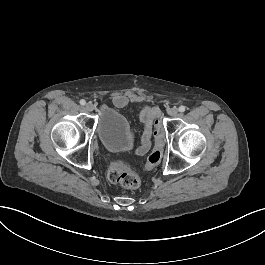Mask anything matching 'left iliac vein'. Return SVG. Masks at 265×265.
Listing matches in <instances>:
<instances>
[{
    "instance_id": "obj_1",
    "label": "left iliac vein",
    "mask_w": 265,
    "mask_h": 265,
    "mask_svg": "<svg viewBox=\"0 0 265 265\" xmlns=\"http://www.w3.org/2000/svg\"><path fill=\"white\" fill-rule=\"evenodd\" d=\"M168 114H169L170 116H172V117H176V116H178V109L175 108V107H173V108H171V109L168 111Z\"/></svg>"
}]
</instances>
